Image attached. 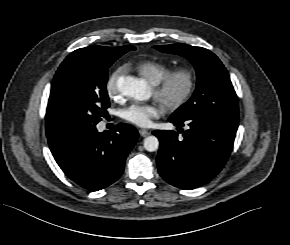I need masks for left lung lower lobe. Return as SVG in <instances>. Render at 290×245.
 Instances as JSON below:
<instances>
[{
    "label": "left lung lower lobe",
    "mask_w": 290,
    "mask_h": 245,
    "mask_svg": "<svg viewBox=\"0 0 290 245\" xmlns=\"http://www.w3.org/2000/svg\"><path fill=\"white\" fill-rule=\"evenodd\" d=\"M182 137L155 130L160 140L158 171L173 186L191 190L212 180L224 167L233 148L239 120L199 111L183 119L170 118ZM187 123L189 128L181 127Z\"/></svg>",
    "instance_id": "left-lung-lower-lobe-1"
}]
</instances>
